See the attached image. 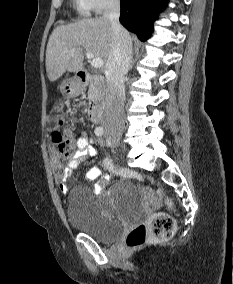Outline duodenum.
I'll return each mask as SVG.
<instances>
[{
    "mask_svg": "<svg viewBox=\"0 0 233 284\" xmlns=\"http://www.w3.org/2000/svg\"><path fill=\"white\" fill-rule=\"evenodd\" d=\"M77 80L79 86L92 84L97 91L98 97L89 107L88 116L93 123H100L103 119L104 112V91L106 87L105 77L103 75H93L85 70H80L77 72Z\"/></svg>",
    "mask_w": 233,
    "mask_h": 284,
    "instance_id": "1",
    "label": "duodenum"
}]
</instances>
